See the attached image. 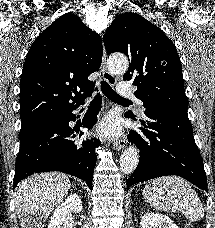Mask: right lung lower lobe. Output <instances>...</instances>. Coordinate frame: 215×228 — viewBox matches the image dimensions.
<instances>
[{"instance_id": "right-lung-lower-lobe-1", "label": "right lung lower lobe", "mask_w": 215, "mask_h": 228, "mask_svg": "<svg viewBox=\"0 0 215 228\" xmlns=\"http://www.w3.org/2000/svg\"><path fill=\"white\" fill-rule=\"evenodd\" d=\"M101 99L99 94L95 96L81 126L89 129L94 126L101 109ZM82 103L83 101L62 113L59 120L46 123L20 136L13 188L33 173L60 171L82 179L92 189L97 160L95 148L100 145V141L93 139L75 144L71 138L76 134L68 125L71 120L75 121L72 111ZM82 134L79 133L80 136Z\"/></svg>"}]
</instances>
